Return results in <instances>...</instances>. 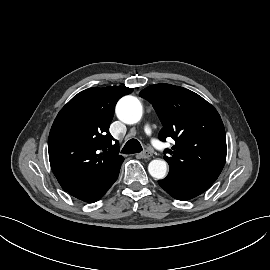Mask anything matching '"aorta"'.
Masks as SVG:
<instances>
[{
    "instance_id": "obj_1",
    "label": "aorta",
    "mask_w": 270,
    "mask_h": 270,
    "mask_svg": "<svg viewBox=\"0 0 270 270\" xmlns=\"http://www.w3.org/2000/svg\"><path fill=\"white\" fill-rule=\"evenodd\" d=\"M116 114L122 122L135 124L139 122L142 117V105L136 97L125 96L117 103ZM148 171L153 178L163 179L166 176L167 163L164 160H152L148 165Z\"/></svg>"
}]
</instances>
